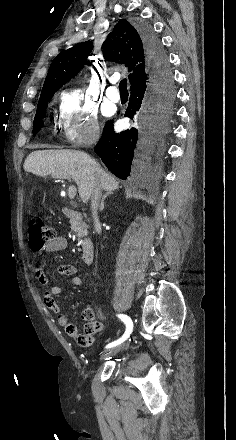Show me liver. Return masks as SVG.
<instances>
[{"label":"liver","instance_id":"liver-1","mask_svg":"<svg viewBox=\"0 0 236 440\" xmlns=\"http://www.w3.org/2000/svg\"><path fill=\"white\" fill-rule=\"evenodd\" d=\"M24 170L37 176L52 175L58 178H72L83 203H87L94 186L112 193L119 188L116 179L108 174L94 159L81 151L38 150L30 153L24 162Z\"/></svg>","mask_w":236,"mask_h":440}]
</instances>
